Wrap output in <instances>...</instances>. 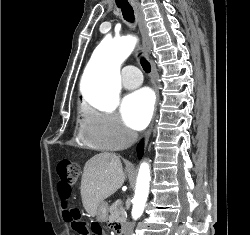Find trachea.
Returning a JSON list of instances; mask_svg holds the SVG:
<instances>
[{"instance_id": "3493384b", "label": "trachea", "mask_w": 250, "mask_h": 235, "mask_svg": "<svg viewBox=\"0 0 250 235\" xmlns=\"http://www.w3.org/2000/svg\"><path fill=\"white\" fill-rule=\"evenodd\" d=\"M118 7L122 11L123 18L126 21L130 22V23H134V11H133V8L130 5H127V6H119L118 5ZM140 63H141V66H142L143 70L146 73H150V71H151L150 63L144 57L140 58Z\"/></svg>"}]
</instances>
